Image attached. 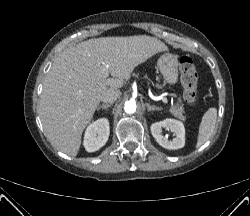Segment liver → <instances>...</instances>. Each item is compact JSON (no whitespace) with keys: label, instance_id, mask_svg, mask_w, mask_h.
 Returning <instances> with one entry per match:
<instances>
[{"label":"liver","instance_id":"6515ba94","mask_svg":"<svg viewBox=\"0 0 250 216\" xmlns=\"http://www.w3.org/2000/svg\"><path fill=\"white\" fill-rule=\"evenodd\" d=\"M166 50L157 38L136 35L89 39L62 51L45 78L39 105L51 143L76 156L101 95L110 88H121L135 67ZM106 66L111 78L103 77Z\"/></svg>","mask_w":250,"mask_h":216}]
</instances>
